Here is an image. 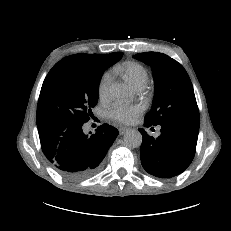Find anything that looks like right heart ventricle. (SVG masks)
<instances>
[{"label":"right heart ventricle","instance_id":"e07e8e85","mask_svg":"<svg viewBox=\"0 0 231 231\" xmlns=\"http://www.w3.org/2000/svg\"><path fill=\"white\" fill-rule=\"evenodd\" d=\"M114 71L119 73L128 84L137 90L143 89L148 83L147 69L138 62L126 61L117 65Z\"/></svg>","mask_w":231,"mask_h":231}]
</instances>
